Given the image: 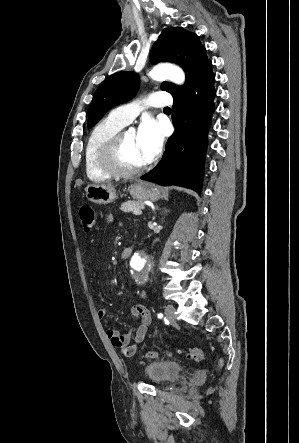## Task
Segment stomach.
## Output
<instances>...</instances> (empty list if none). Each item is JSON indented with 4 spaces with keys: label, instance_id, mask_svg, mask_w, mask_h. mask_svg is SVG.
Wrapping results in <instances>:
<instances>
[{
    "label": "stomach",
    "instance_id": "0dacf381",
    "mask_svg": "<svg viewBox=\"0 0 299 443\" xmlns=\"http://www.w3.org/2000/svg\"><path fill=\"white\" fill-rule=\"evenodd\" d=\"M85 192L88 200L100 205L112 203L116 199L115 188L111 185L89 184L85 188ZM130 194L132 198L140 201H156L161 196L159 188L146 182H136L132 184Z\"/></svg>",
    "mask_w": 299,
    "mask_h": 443
}]
</instances>
